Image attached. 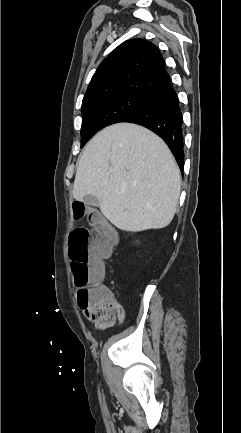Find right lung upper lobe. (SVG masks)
Listing matches in <instances>:
<instances>
[{"instance_id": "obj_1", "label": "right lung upper lobe", "mask_w": 241, "mask_h": 433, "mask_svg": "<svg viewBox=\"0 0 241 433\" xmlns=\"http://www.w3.org/2000/svg\"><path fill=\"white\" fill-rule=\"evenodd\" d=\"M168 81L170 77L157 47L140 38L131 39L119 45L101 62L83 102L122 92L149 94ZM180 151L183 152V146Z\"/></svg>"}]
</instances>
